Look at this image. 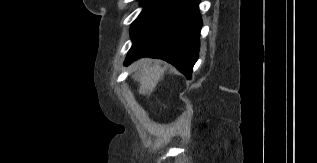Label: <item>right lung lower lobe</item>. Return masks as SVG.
<instances>
[{"mask_svg": "<svg viewBox=\"0 0 317 163\" xmlns=\"http://www.w3.org/2000/svg\"><path fill=\"white\" fill-rule=\"evenodd\" d=\"M199 0H179L157 21L132 37L125 65L140 57L160 58L188 79L198 59L202 20Z\"/></svg>", "mask_w": 317, "mask_h": 163, "instance_id": "1", "label": "right lung lower lobe"}]
</instances>
